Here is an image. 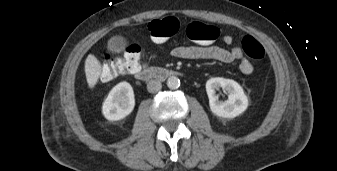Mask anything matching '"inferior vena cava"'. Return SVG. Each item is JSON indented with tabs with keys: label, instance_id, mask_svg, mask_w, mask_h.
Segmentation results:
<instances>
[{
	"label": "inferior vena cava",
	"instance_id": "inferior-vena-cava-1",
	"mask_svg": "<svg viewBox=\"0 0 337 171\" xmlns=\"http://www.w3.org/2000/svg\"><path fill=\"white\" fill-rule=\"evenodd\" d=\"M162 88V84L159 80H150L147 84V90L150 93H157Z\"/></svg>",
	"mask_w": 337,
	"mask_h": 171
}]
</instances>
